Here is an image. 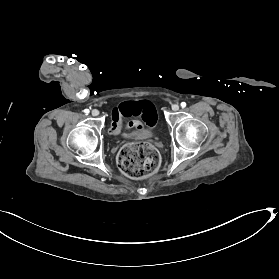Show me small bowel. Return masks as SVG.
<instances>
[{
  "instance_id": "small-bowel-1",
  "label": "small bowel",
  "mask_w": 279,
  "mask_h": 279,
  "mask_svg": "<svg viewBox=\"0 0 279 279\" xmlns=\"http://www.w3.org/2000/svg\"><path fill=\"white\" fill-rule=\"evenodd\" d=\"M131 116H141L142 121L131 120ZM156 123V111L149 101L125 102L112 111V123L109 133L123 137H141L146 129H150ZM126 128L132 129L129 134L122 133Z\"/></svg>"
}]
</instances>
